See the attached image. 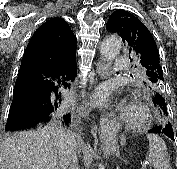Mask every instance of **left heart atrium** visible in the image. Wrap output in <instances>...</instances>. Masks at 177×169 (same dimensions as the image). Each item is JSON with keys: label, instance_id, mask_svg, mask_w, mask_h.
<instances>
[{"label": "left heart atrium", "instance_id": "39dd6f15", "mask_svg": "<svg viewBox=\"0 0 177 169\" xmlns=\"http://www.w3.org/2000/svg\"><path fill=\"white\" fill-rule=\"evenodd\" d=\"M94 101L99 105H105L108 103L109 99V90L107 87L102 86L97 89L94 94Z\"/></svg>", "mask_w": 177, "mask_h": 169}]
</instances>
